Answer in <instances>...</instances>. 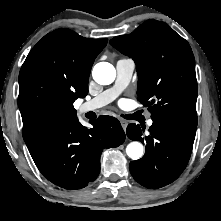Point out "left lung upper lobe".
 <instances>
[{
  "mask_svg": "<svg viewBox=\"0 0 221 221\" xmlns=\"http://www.w3.org/2000/svg\"><path fill=\"white\" fill-rule=\"evenodd\" d=\"M110 44L135 61L138 100L151 117L197 126L195 59L185 39L164 22L149 20Z\"/></svg>",
  "mask_w": 221,
  "mask_h": 221,
  "instance_id": "left-lung-upper-lobe-1",
  "label": "left lung upper lobe"
}]
</instances>
